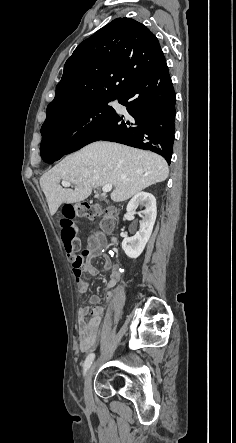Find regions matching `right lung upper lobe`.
I'll return each instance as SVG.
<instances>
[{
    "label": "right lung upper lobe",
    "mask_w": 236,
    "mask_h": 443,
    "mask_svg": "<svg viewBox=\"0 0 236 443\" xmlns=\"http://www.w3.org/2000/svg\"><path fill=\"white\" fill-rule=\"evenodd\" d=\"M162 56L158 39L146 26L131 18L113 20L79 44L66 61L47 118L98 96L119 97Z\"/></svg>",
    "instance_id": "1"
}]
</instances>
